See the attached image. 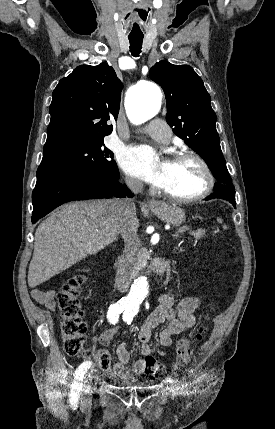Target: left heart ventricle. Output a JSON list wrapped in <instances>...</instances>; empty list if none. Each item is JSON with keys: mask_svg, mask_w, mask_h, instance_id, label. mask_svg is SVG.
<instances>
[{"mask_svg": "<svg viewBox=\"0 0 275 429\" xmlns=\"http://www.w3.org/2000/svg\"><path fill=\"white\" fill-rule=\"evenodd\" d=\"M205 185V176L200 165L193 160L170 161L164 187L176 196H191L199 193Z\"/></svg>", "mask_w": 275, "mask_h": 429, "instance_id": "obj_1", "label": "left heart ventricle"}]
</instances>
